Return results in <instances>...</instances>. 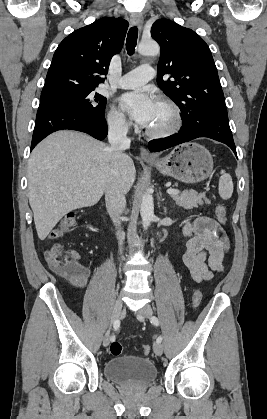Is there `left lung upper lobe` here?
<instances>
[{
    "label": "left lung upper lobe",
    "mask_w": 267,
    "mask_h": 419,
    "mask_svg": "<svg viewBox=\"0 0 267 419\" xmlns=\"http://www.w3.org/2000/svg\"><path fill=\"white\" fill-rule=\"evenodd\" d=\"M151 36L161 48L157 84L180 108L182 122L202 112L226 110L211 51L197 33L159 19L152 25ZM165 74L171 79L164 81Z\"/></svg>",
    "instance_id": "5c2ea615"
}]
</instances>
